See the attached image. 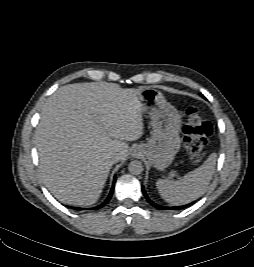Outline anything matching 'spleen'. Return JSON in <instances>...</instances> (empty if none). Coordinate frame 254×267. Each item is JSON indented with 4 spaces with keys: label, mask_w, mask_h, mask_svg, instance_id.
Returning a JSON list of instances; mask_svg holds the SVG:
<instances>
[{
    "label": "spleen",
    "mask_w": 254,
    "mask_h": 267,
    "mask_svg": "<svg viewBox=\"0 0 254 267\" xmlns=\"http://www.w3.org/2000/svg\"><path fill=\"white\" fill-rule=\"evenodd\" d=\"M217 154L212 153L198 168L178 180L159 179L156 186L161 197L171 205L187 204L206 190L215 171Z\"/></svg>",
    "instance_id": "3e777b00"
}]
</instances>
